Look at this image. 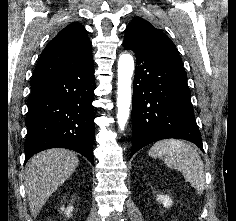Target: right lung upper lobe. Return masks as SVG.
Returning <instances> with one entry per match:
<instances>
[{"label": "right lung upper lobe", "mask_w": 236, "mask_h": 221, "mask_svg": "<svg viewBox=\"0 0 236 221\" xmlns=\"http://www.w3.org/2000/svg\"><path fill=\"white\" fill-rule=\"evenodd\" d=\"M91 48L86 29L69 24L42 51L31 81L93 66Z\"/></svg>", "instance_id": "1"}]
</instances>
